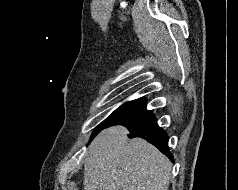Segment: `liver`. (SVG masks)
<instances>
[{
	"label": "liver",
	"mask_w": 238,
	"mask_h": 190,
	"mask_svg": "<svg viewBox=\"0 0 238 190\" xmlns=\"http://www.w3.org/2000/svg\"><path fill=\"white\" fill-rule=\"evenodd\" d=\"M114 126L92 141L84 162V190H168L171 162L141 138Z\"/></svg>",
	"instance_id": "liver-1"
}]
</instances>
